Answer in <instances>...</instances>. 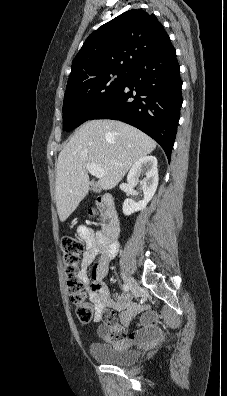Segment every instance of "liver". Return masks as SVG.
<instances>
[{"label": "liver", "mask_w": 227, "mask_h": 396, "mask_svg": "<svg viewBox=\"0 0 227 396\" xmlns=\"http://www.w3.org/2000/svg\"><path fill=\"white\" fill-rule=\"evenodd\" d=\"M156 142L140 130L115 120L82 124L62 149L56 164V207L61 222L74 212L89 191L87 165L104 170L98 186H117L130 167L150 154Z\"/></svg>", "instance_id": "obj_1"}]
</instances>
